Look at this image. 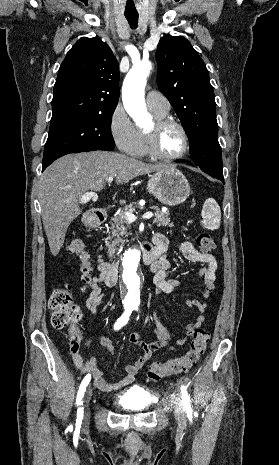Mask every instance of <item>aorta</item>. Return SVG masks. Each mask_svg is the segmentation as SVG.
I'll list each match as a JSON object with an SVG mask.
<instances>
[{"instance_id":"1","label":"aorta","mask_w":279,"mask_h":465,"mask_svg":"<svg viewBox=\"0 0 279 465\" xmlns=\"http://www.w3.org/2000/svg\"><path fill=\"white\" fill-rule=\"evenodd\" d=\"M151 70L150 62L134 65L124 79L122 101L127 113L137 125L148 117L144 100L147 77ZM140 251L131 248L125 252L122 260L121 281L125 289V300L135 303L139 300L141 276L139 271Z\"/></svg>"}]
</instances>
